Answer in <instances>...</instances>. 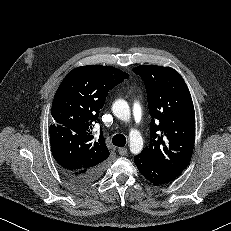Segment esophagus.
<instances>
[{"instance_id": "obj_1", "label": "esophagus", "mask_w": 231, "mask_h": 231, "mask_svg": "<svg viewBox=\"0 0 231 231\" xmlns=\"http://www.w3.org/2000/svg\"><path fill=\"white\" fill-rule=\"evenodd\" d=\"M128 150L127 148H119L118 149V153L121 155V156H125L127 154Z\"/></svg>"}]
</instances>
